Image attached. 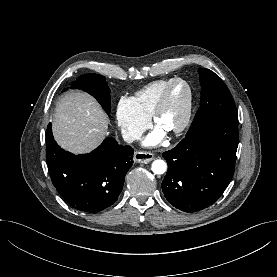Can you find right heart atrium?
<instances>
[{"label":"right heart atrium","instance_id":"obj_1","mask_svg":"<svg viewBox=\"0 0 277 277\" xmlns=\"http://www.w3.org/2000/svg\"><path fill=\"white\" fill-rule=\"evenodd\" d=\"M116 120L123 138L127 141L137 138L149 124V119L136 109L130 97H122L119 100Z\"/></svg>","mask_w":277,"mask_h":277}]
</instances>
